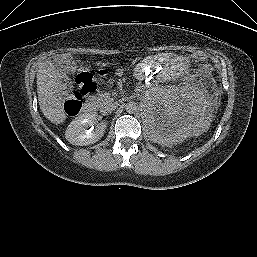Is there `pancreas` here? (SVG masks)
Here are the masks:
<instances>
[{"mask_svg": "<svg viewBox=\"0 0 257 257\" xmlns=\"http://www.w3.org/2000/svg\"><path fill=\"white\" fill-rule=\"evenodd\" d=\"M107 100H108V97L105 94H97L92 98V104L96 108H101L106 103Z\"/></svg>", "mask_w": 257, "mask_h": 257, "instance_id": "1", "label": "pancreas"}]
</instances>
